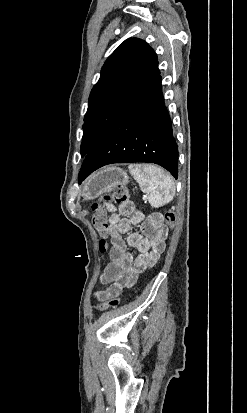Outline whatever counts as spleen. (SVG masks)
Wrapping results in <instances>:
<instances>
[{
	"label": "spleen",
	"instance_id": "3e777b00",
	"mask_svg": "<svg viewBox=\"0 0 247 413\" xmlns=\"http://www.w3.org/2000/svg\"><path fill=\"white\" fill-rule=\"evenodd\" d=\"M128 168L141 190L148 192L151 207H163V204L173 200L175 182L167 170L160 166L145 168L144 164H129Z\"/></svg>",
	"mask_w": 247,
	"mask_h": 413
}]
</instances>
